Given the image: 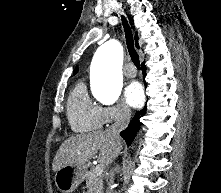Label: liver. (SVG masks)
Masks as SVG:
<instances>
[{"mask_svg":"<svg viewBox=\"0 0 221 193\" xmlns=\"http://www.w3.org/2000/svg\"><path fill=\"white\" fill-rule=\"evenodd\" d=\"M122 148L121 138L116 139L109 130L70 137L58 149L52 164L56 172L65 165L82 166L99 151L98 161L108 165Z\"/></svg>","mask_w":221,"mask_h":193,"instance_id":"obj_1","label":"liver"}]
</instances>
